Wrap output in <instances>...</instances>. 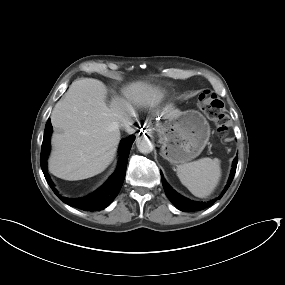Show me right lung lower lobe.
Listing matches in <instances>:
<instances>
[{"mask_svg": "<svg viewBox=\"0 0 285 285\" xmlns=\"http://www.w3.org/2000/svg\"><path fill=\"white\" fill-rule=\"evenodd\" d=\"M52 129L53 127L49 119L45 126L41 155H40L41 168L44 173L45 179L50 185L51 189L63 202L78 209L85 211H100L105 209L114 200V198L117 196V194L121 189L126 174L129 152L132 143L135 140V136L130 135L129 137L121 141L119 148L120 158L118 161L117 169L112 174V176L105 182L103 186H101L94 193L84 198L68 199L59 195V193L54 187L52 180L50 179L47 173V158L50 151V137Z\"/></svg>", "mask_w": 285, "mask_h": 285, "instance_id": "98d812e1", "label": "right lung lower lobe"}]
</instances>
